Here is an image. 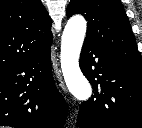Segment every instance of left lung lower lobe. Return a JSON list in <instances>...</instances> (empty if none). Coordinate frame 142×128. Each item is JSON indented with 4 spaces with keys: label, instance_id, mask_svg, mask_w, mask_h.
Here are the masks:
<instances>
[{
    "label": "left lung lower lobe",
    "instance_id": "0a47b994",
    "mask_svg": "<svg viewBox=\"0 0 142 128\" xmlns=\"http://www.w3.org/2000/svg\"><path fill=\"white\" fill-rule=\"evenodd\" d=\"M80 68L94 90L79 108L80 128H142V66L84 41Z\"/></svg>",
    "mask_w": 142,
    "mask_h": 128
}]
</instances>
